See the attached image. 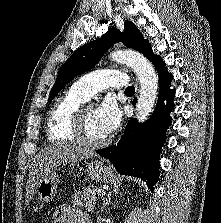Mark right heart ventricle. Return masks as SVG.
Listing matches in <instances>:
<instances>
[{
  "instance_id": "obj_1",
  "label": "right heart ventricle",
  "mask_w": 221,
  "mask_h": 223,
  "mask_svg": "<svg viewBox=\"0 0 221 223\" xmlns=\"http://www.w3.org/2000/svg\"><path fill=\"white\" fill-rule=\"evenodd\" d=\"M84 100L71 88L59 95L47 117L45 132L48 141L63 143L75 141L70 129L75 114Z\"/></svg>"
}]
</instances>
